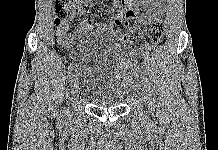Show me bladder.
<instances>
[{
  "label": "bladder",
  "instance_id": "1",
  "mask_svg": "<svg viewBox=\"0 0 218 150\" xmlns=\"http://www.w3.org/2000/svg\"><path fill=\"white\" fill-rule=\"evenodd\" d=\"M79 57L82 62L75 77L81 96L98 107L121 105L132 90L135 75L118 42L106 32L92 31L82 38Z\"/></svg>",
  "mask_w": 218,
  "mask_h": 150
}]
</instances>
